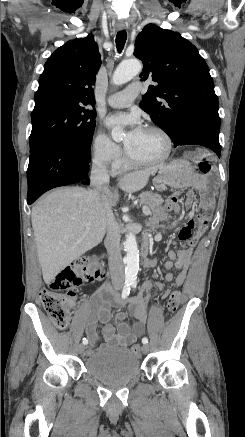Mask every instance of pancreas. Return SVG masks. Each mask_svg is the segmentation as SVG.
I'll use <instances>...</instances> for the list:
<instances>
[{"instance_id": "1", "label": "pancreas", "mask_w": 245, "mask_h": 437, "mask_svg": "<svg viewBox=\"0 0 245 437\" xmlns=\"http://www.w3.org/2000/svg\"><path fill=\"white\" fill-rule=\"evenodd\" d=\"M139 198L140 206H147L150 208V210H154L155 208L159 207L163 202L162 197L153 192H142L139 195Z\"/></svg>"}]
</instances>
